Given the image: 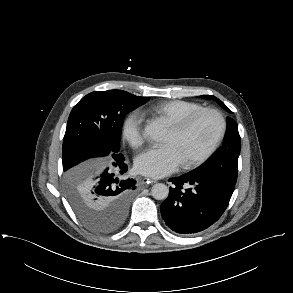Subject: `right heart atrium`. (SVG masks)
<instances>
[{"label": "right heart atrium", "mask_w": 293, "mask_h": 293, "mask_svg": "<svg viewBox=\"0 0 293 293\" xmlns=\"http://www.w3.org/2000/svg\"><path fill=\"white\" fill-rule=\"evenodd\" d=\"M122 138L132 147L140 146L144 139L143 116L138 111L129 112L121 125Z\"/></svg>", "instance_id": "right-heart-atrium-1"}]
</instances>
